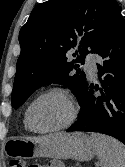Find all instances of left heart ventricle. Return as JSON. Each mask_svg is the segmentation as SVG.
I'll return each mask as SVG.
<instances>
[{"instance_id": "left-heart-ventricle-1", "label": "left heart ventricle", "mask_w": 125, "mask_h": 167, "mask_svg": "<svg viewBox=\"0 0 125 167\" xmlns=\"http://www.w3.org/2000/svg\"><path fill=\"white\" fill-rule=\"evenodd\" d=\"M68 115L65 101L56 95L39 100L30 113V123L34 129L43 130L61 124Z\"/></svg>"}]
</instances>
